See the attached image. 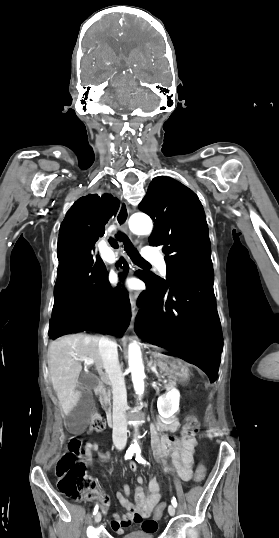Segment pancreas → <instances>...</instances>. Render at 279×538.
Segmentation results:
<instances>
[{"instance_id":"pancreas-1","label":"pancreas","mask_w":279,"mask_h":538,"mask_svg":"<svg viewBox=\"0 0 279 538\" xmlns=\"http://www.w3.org/2000/svg\"><path fill=\"white\" fill-rule=\"evenodd\" d=\"M171 385H174V380H168V382L162 383L161 387L169 389ZM110 396H111V390H108V392H106V390H103L100 396V402H109L110 404Z\"/></svg>"}]
</instances>
